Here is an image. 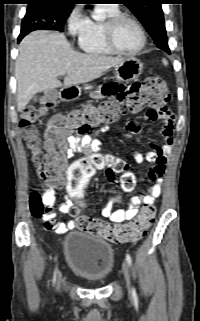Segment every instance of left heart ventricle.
I'll return each instance as SVG.
<instances>
[{"label": "left heart ventricle", "instance_id": "left-heart-ventricle-1", "mask_svg": "<svg viewBox=\"0 0 200 321\" xmlns=\"http://www.w3.org/2000/svg\"><path fill=\"white\" fill-rule=\"evenodd\" d=\"M117 45L125 51H133L141 44V36L137 27L129 20H123L116 29Z\"/></svg>", "mask_w": 200, "mask_h": 321}]
</instances>
